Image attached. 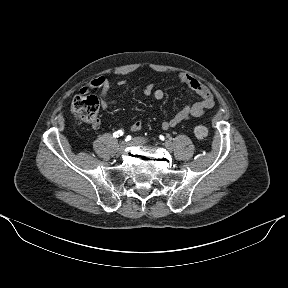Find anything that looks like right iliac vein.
<instances>
[{
	"mask_svg": "<svg viewBox=\"0 0 288 288\" xmlns=\"http://www.w3.org/2000/svg\"><path fill=\"white\" fill-rule=\"evenodd\" d=\"M129 145V143L127 142H122L119 147H118V152L119 153H123L124 150L126 149V147Z\"/></svg>",
	"mask_w": 288,
	"mask_h": 288,
	"instance_id": "obj_1",
	"label": "right iliac vein"
}]
</instances>
